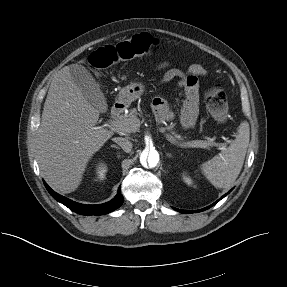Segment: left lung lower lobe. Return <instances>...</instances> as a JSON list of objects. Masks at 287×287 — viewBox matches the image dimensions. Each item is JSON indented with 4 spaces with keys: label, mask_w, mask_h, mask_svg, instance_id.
<instances>
[{
    "label": "left lung lower lobe",
    "mask_w": 287,
    "mask_h": 287,
    "mask_svg": "<svg viewBox=\"0 0 287 287\" xmlns=\"http://www.w3.org/2000/svg\"><path fill=\"white\" fill-rule=\"evenodd\" d=\"M226 195H224L223 197H225ZM222 197V198H223ZM219 201V200H218ZM217 201V202H218ZM215 204V203H214ZM214 204H212L211 206H213ZM211 206H209V207H206V208H204V209H202V210H197V211H190V210H179V209H176L177 211H179V212H181V213H193V212H200V211H203V210H205V209H208V208H210Z\"/></svg>",
    "instance_id": "left-lung-lower-lobe-1"
}]
</instances>
